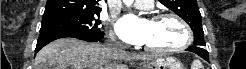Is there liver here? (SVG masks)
<instances>
[{
	"label": "liver",
	"mask_w": 246,
	"mask_h": 69,
	"mask_svg": "<svg viewBox=\"0 0 246 69\" xmlns=\"http://www.w3.org/2000/svg\"><path fill=\"white\" fill-rule=\"evenodd\" d=\"M147 54L130 55L99 43H86L74 38L58 39L39 51L34 69H127L117 61L152 60Z\"/></svg>",
	"instance_id": "1"
}]
</instances>
